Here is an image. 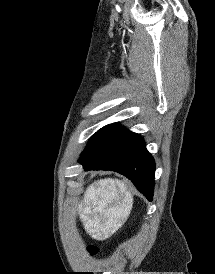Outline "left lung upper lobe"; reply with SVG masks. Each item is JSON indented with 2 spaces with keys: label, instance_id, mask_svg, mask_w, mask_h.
Segmentation results:
<instances>
[{
  "label": "left lung upper lobe",
  "instance_id": "1",
  "mask_svg": "<svg viewBox=\"0 0 215 274\" xmlns=\"http://www.w3.org/2000/svg\"><path fill=\"white\" fill-rule=\"evenodd\" d=\"M118 127L119 124L113 123L104 126L100 130H98L89 140L87 146L81 153L79 161L85 158L88 154L94 151L102 142H104Z\"/></svg>",
  "mask_w": 215,
  "mask_h": 274
}]
</instances>
